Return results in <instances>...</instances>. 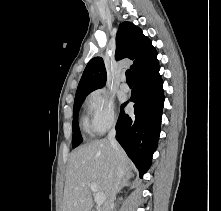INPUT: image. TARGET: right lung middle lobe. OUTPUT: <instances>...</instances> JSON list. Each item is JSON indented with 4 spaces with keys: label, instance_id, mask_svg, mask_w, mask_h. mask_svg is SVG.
I'll list each match as a JSON object with an SVG mask.
<instances>
[{
    "label": "right lung middle lobe",
    "instance_id": "dd1d6c3e",
    "mask_svg": "<svg viewBox=\"0 0 221 211\" xmlns=\"http://www.w3.org/2000/svg\"><path fill=\"white\" fill-rule=\"evenodd\" d=\"M87 95L75 98L74 100V108H73V139H72V147H77L82 142L81 133L78 126V112L81 107L83 100Z\"/></svg>",
    "mask_w": 221,
    "mask_h": 211
}]
</instances>
